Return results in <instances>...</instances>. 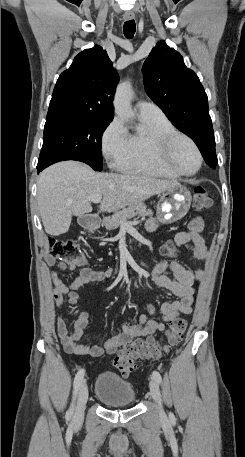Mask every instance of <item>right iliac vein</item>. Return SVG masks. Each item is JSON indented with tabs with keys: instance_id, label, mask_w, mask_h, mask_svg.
<instances>
[{
	"instance_id": "63e3f726",
	"label": "right iliac vein",
	"mask_w": 245,
	"mask_h": 457,
	"mask_svg": "<svg viewBox=\"0 0 245 457\" xmlns=\"http://www.w3.org/2000/svg\"><path fill=\"white\" fill-rule=\"evenodd\" d=\"M87 399H88V387H87V384L84 383L82 385V387L80 388V392H79L77 403H76V408H75L74 415H73V421L76 424L80 423L83 420Z\"/></svg>"
}]
</instances>
